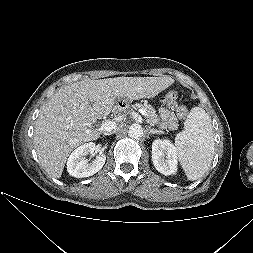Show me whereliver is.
Masks as SVG:
<instances>
[{"instance_id":"liver-1","label":"liver","mask_w":253,"mask_h":253,"mask_svg":"<svg viewBox=\"0 0 253 253\" xmlns=\"http://www.w3.org/2000/svg\"><path fill=\"white\" fill-rule=\"evenodd\" d=\"M174 83L170 77L83 80L59 88L40 109L33 143L41 166L60 178L69 154L100 132L88 127L109 115L118 99L153 98Z\"/></svg>"}]
</instances>
